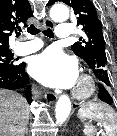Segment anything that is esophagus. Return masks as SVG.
I'll list each match as a JSON object with an SVG mask.
<instances>
[{"mask_svg": "<svg viewBox=\"0 0 117 136\" xmlns=\"http://www.w3.org/2000/svg\"><path fill=\"white\" fill-rule=\"evenodd\" d=\"M43 26L45 28H54V22L49 18H45L43 21ZM45 98L49 103H54L57 100L58 95L56 93L46 92Z\"/></svg>", "mask_w": 117, "mask_h": 136, "instance_id": "esophagus-1", "label": "esophagus"}]
</instances>
